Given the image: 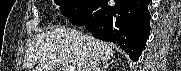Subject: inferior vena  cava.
Returning <instances> with one entry per match:
<instances>
[{
  "mask_svg": "<svg viewBox=\"0 0 181 71\" xmlns=\"http://www.w3.org/2000/svg\"><path fill=\"white\" fill-rule=\"evenodd\" d=\"M99 64V58L95 55H92L87 71H99Z\"/></svg>",
  "mask_w": 181,
  "mask_h": 71,
  "instance_id": "1",
  "label": "inferior vena cava"
}]
</instances>
